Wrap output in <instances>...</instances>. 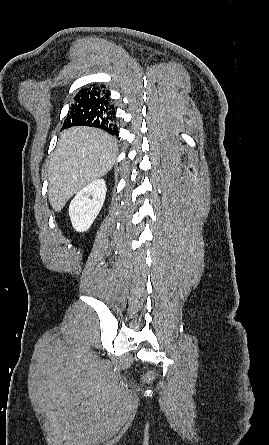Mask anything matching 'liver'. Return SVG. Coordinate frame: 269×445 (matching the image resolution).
<instances>
[{
	"label": "liver",
	"mask_w": 269,
	"mask_h": 445,
	"mask_svg": "<svg viewBox=\"0 0 269 445\" xmlns=\"http://www.w3.org/2000/svg\"><path fill=\"white\" fill-rule=\"evenodd\" d=\"M117 146L106 132L88 127L64 131L48 168V198L60 212L67 201L115 164Z\"/></svg>",
	"instance_id": "obj_1"
}]
</instances>
